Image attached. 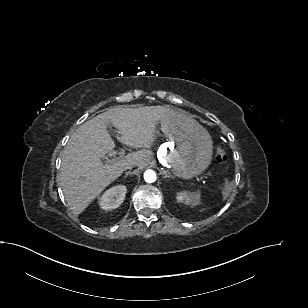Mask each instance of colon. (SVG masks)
<instances>
[{
  "mask_svg": "<svg viewBox=\"0 0 308 308\" xmlns=\"http://www.w3.org/2000/svg\"><path fill=\"white\" fill-rule=\"evenodd\" d=\"M227 159L228 157H227V153L225 152V150L221 147H218L216 150V160L219 163H225Z\"/></svg>",
  "mask_w": 308,
  "mask_h": 308,
  "instance_id": "5ec220e1",
  "label": "colon"
}]
</instances>
